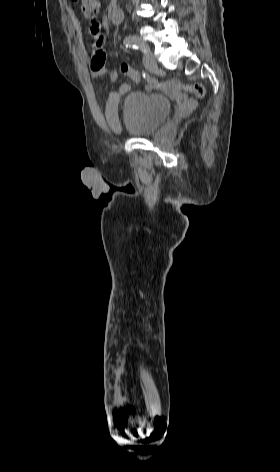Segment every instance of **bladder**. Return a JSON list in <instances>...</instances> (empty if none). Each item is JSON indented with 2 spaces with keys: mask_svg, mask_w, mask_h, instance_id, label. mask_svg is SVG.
I'll list each match as a JSON object with an SVG mask.
<instances>
[{
  "mask_svg": "<svg viewBox=\"0 0 280 472\" xmlns=\"http://www.w3.org/2000/svg\"><path fill=\"white\" fill-rule=\"evenodd\" d=\"M122 119L131 137H142L156 132L172 111V102L167 97L131 91L121 103Z\"/></svg>",
  "mask_w": 280,
  "mask_h": 472,
  "instance_id": "obj_1",
  "label": "bladder"
}]
</instances>
